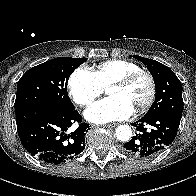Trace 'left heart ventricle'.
<instances>
[{
	"label": "left heart ventricle",
	"instance_id": "1",
	"mask_svg": "<svg viewBox=\"0 0 196 196\" xmlns=\"http://www.w3.org/2000/svg\"><path fill=\"white\" fill-rule=\"evenodd\" d=\"M107 94L109 96H120L136 108L146 100L149 94V83L145 77H140L127 87H109Z\"/></svg>",
	"mask_w": 196,
	"mask_h": 196
}]
</instances>
